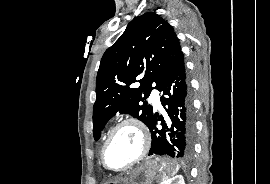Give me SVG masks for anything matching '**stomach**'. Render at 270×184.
Returning a JSON list of instances; mask_svg holds the SVG:
<instances>
[{
	"instance_id": "stomach-1",
	"label": "stomach",
	"mask_w": 270,
	"mask_h": 184,
	"mask_svg": "<svg viewBox=\"0 0 270 184\" xmlns=\"http://www.w3.org/2000/svg\"><path fill=\"white\" fill-rule=\"evenodd\" d=\"M178 165L168 159L148 160L123 175L113 184H152L154 180H162L178 170Z\"/></svg>"
}]
</instances>
